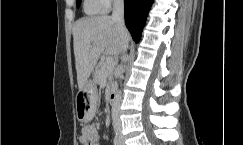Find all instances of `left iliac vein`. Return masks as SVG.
Returning a JSON list of instances; mask_svg holds the SVG:
<instances>
[{
    "label": "left iliac vein",
    "instance_id": "obj_1",
    "mask_svg": "<svg viewBox=\"0 0 243 145\" xmlns=\"http://www.w3.org/2000/svg\"><path fill=\"white\" fill-rule=\"evenodd\" d=\"M119 140H120V145H125L124 140H123V138H122L121 135H120V137H119Z\"/></svg>",
    "mask_w": 243,
    "mask_h": 145
}]
</instances>
